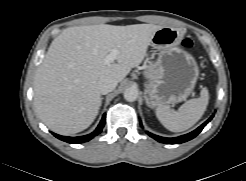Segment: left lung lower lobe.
<instances>
[{
    "label": "left lung lower lobe",
    "instance_id": "left-lung-lower-lobe-1",
    "mask_svg": "<svg viewBox=\"0 0 246 181\" xmlns=\"http://www.w3.org/2000/svg\"><path fill=\"white\" fill-rule=\"evenodd\" d=\"M213 116L214 115H212L206 122H204L196 130H194V131H192L186 135L179 136V137L165 138V137H160V136L154 135V134L149 133V132H147V134L149 136H151L152 138H154L155 140L161 142V143H166V144L184 143V142L189 141V140L193 139L194 137H196L202 131V129L206 126V124L213 118Z\"/></svg>",
    "mask_w": 246,
    "mask_h": 181
}]
</instances>
